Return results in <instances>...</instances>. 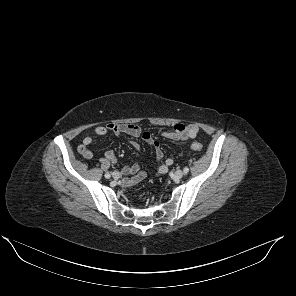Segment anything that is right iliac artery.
Here are the masks:
<instances>
[{
  "instance_id": "right-iliac-artery-1",
  "label": "right iliac artery",
  "mask_w": 296,
  "mask_h": 296,
  "mask_svg": "<svg viewBox=\"0 0 296 296\" xmlns=\"http://www.w3.org/2000/svg\"><path fill=\"white\" fill-rule=\"evenodd\" d=\"M111 177V175L109 173L105 174V178L109 179Z\"/></svg>"
}]
</instances>
